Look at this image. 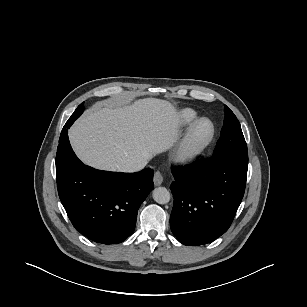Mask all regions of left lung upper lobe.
Listing matches in <instances>:
<instances>
[{
    "label": "left lung upper lobe",
    "instance_id": "left-lung-upper-lobe-1",
    "mask_svg": "<svg viewBox=\"0 0 307 307\" xmlns=\"http://www.w3.org/2000/svg\"><path fill=\"white\" fill-rule=\"evenodd\" d=\"M225 119L221 136L212 157H229L248 164L247 145L239 121L234 113L225 106Z\"/></svg>",
    "mask_w": 307,
    "mask_h": 307
}]
</instances>
